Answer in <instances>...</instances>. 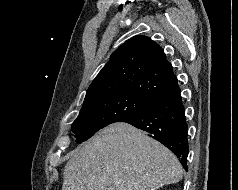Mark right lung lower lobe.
<instances>
[{
  "label": "right lung lower lobe",
  "instance_id": "right-lung-lower-lobe-1",
  "mask_svg": "<svg viewBox=\"0 0 238 190\" xmlns=\"http://www.w3.org/2000/svg\"><path fill=\"white\" fill-rule=\"evenodd\" d=\"M122 122L151 133L154 139L176 154L187 170L188 127L178 85L143 111Z\"/></svg>",
  "mask_w": 238,
  "mask_h": 190
}]
</instances>
